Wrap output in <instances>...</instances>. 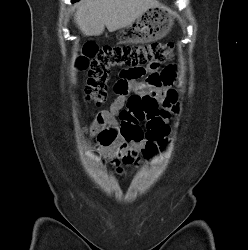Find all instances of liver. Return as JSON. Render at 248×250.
Here are the masks:
<instances>
[{
  "mask_svg": "<svg viewBox=\"0 0 248 250\" xmlns=\"http://www.w3.org/2000/svg\"><path fill=\"white\" fill-rule=\"evenodd\" d=\"M157 0H80L74 21L85 36H99L105 27L114 32L132 24L149 8L159 7Z\"/></svg>",
  "mask_w": 248,
  "mask_h": 250,
  "instance_id": "liver-1",
  "label": "liver"
}]
</instances>
